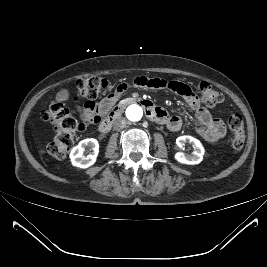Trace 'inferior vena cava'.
<instances>
[{"mask_svg": "<svg viewBox=\"0 0 267 267\" xmlns=\"http://www.w3.org/2000/svg\"><path fill=\"white\" fill-rule=\"evenodd\" d=\"M126 124H127V121L124 118H119L114 121L113 128L114 130H121L125 128Z\"/></svg>", "mask_w": 267, "mask_h": 267, "instance_id": "1", "label": "inferior vena cava"}]
</instances>
